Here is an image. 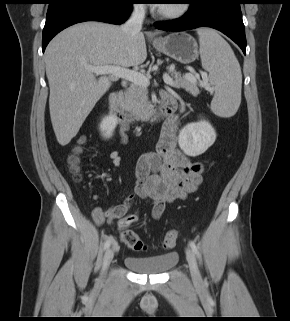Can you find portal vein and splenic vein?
I'll list each match as a JSON object with an SVG mask.
<instances>
[{
    "label": "portal vein and splenic vein",
    "instance_id": "1",
    "mask_svg": "<svg viewBox=\"0 0 290 321\" xmlns=\"http://www.w3.org/2000/svg\"><path fill=\"white\" fill-rule=\"evenodd\" d=\"M87 69L95 73L96 75H110L112 77H119L122 79H126L132 83L142 85L144 87L148 86L150 83L149 77L144 75L143 73L129 70L126 68H121L115 65H106L101 67H88ZM202 77H203V83L201 85L205 86L207 85V76L202 75ZM186 78L193 81L196 80V76L192 74H186ZM163 80L168 85L173 84V79L167 73L163 74Z\"/></svg>",
    "mask_w": 290,
    "mask_h": 321
}]
</instances>
